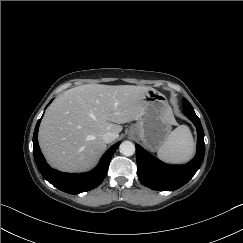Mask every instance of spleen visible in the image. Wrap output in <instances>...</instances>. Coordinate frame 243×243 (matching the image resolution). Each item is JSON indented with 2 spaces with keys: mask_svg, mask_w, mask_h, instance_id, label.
<instances>
[{
  "mask_svg": "<svg viewBox=\"0 0 243 243\" xmlns=\"http://www.w3.org/2000/svg\"><path fill=\"white\" fill-rule=\"evenodd\" d=\"M193 153L194 141L189 128L185 125L173 130L157 151L160 159L170 163L186 162Z\"/></svg>",
  "mask_w": 243,
  "mask_h": 243,
  "instance_id": "obj_1",
  "label": "spleen"
}]
</instances>
